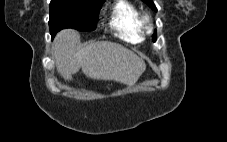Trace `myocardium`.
<instances>
[{"instance_id": "1", "label": "myocardium", "mask_w": 227, "mask_h": 142, "mask_svg": "<svg viewBox=\"0 0 227 142\" xmlns=\"http://www.w3.org/2000/svg\"><path fill=\"white\" fill-rule=\"evenodd\" d=\"M142 21V27L143 29L147 32V33H151L153 28H152V24H151V20L149 18V16H143L141 18Z\"/></svg>"}]
</instances>
